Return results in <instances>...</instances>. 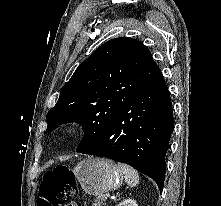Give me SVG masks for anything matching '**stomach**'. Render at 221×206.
Wrapping results in <instances>:
<instances>
[{"label": "stomach", "mask_w": 221, "mask_h": 206, "mask_svg": "<svg viewBox=\"0 0 221 206\" xmlns=\"http://www.w3.org/2000/svg\"><path fill=\"white\" fill-rule=\"evenodd\" d=\"M73 172L85 192L98 196L119 188L124 179L118 165L108 159L97 157L84 159Z\"/></svg>", "instance_id": "obj_1"}]
</instances>
